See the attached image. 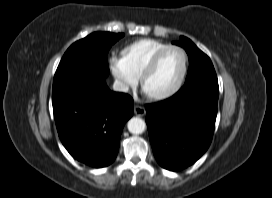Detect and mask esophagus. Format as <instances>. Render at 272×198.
<instances>
[{
    "instance_id": "obj_1",
    "label": "esophagus",
    "mask_w": 272,
    "mask_h": 198,
    "mask_svg": "<svg viewBox=\"0 0 272 198\" xmlns=\"http://www.w3.org/2000/svg\"><path fill=\"white\" fill-rule=\"evenodd\" d=\"M134 114L139 116V117H142L146 114V110L144 107L140 106V105H135L134 106Z\"/></svg>"
}]
</instances>
